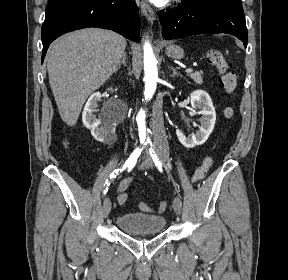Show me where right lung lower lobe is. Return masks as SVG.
<instances>
[{
    "mask_svg": "<svg viewBox=\"0 0 288 280\" xmlns=\"http://www.w3.org/2000/svg\"><path fill=\"white\" fill-rule=\"evenodd\" d=\"M100 27L140 40V17L132 0H49L42 26V62L52 41L76 29Z\"/></svg>",
    "mask_w": 288,
    "mask_h": 280,
    "instance_id": "right-lung-lower-lobe-1",
    "label": "right lung lower lobe"
}]
</instances>
